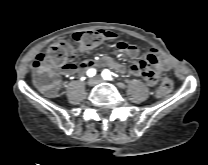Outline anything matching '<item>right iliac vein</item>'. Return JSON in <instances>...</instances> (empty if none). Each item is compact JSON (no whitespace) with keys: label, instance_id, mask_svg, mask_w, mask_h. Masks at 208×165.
I'll return each instance as SVG.
<instances>
[{"label":"right iliac vein","instance_id":"63e3f726","mask_svg":"<svg viewBox=\"0 0 208 165\" xmlns=\"http://www.w3.org/2000/svg\"><path fill=\"white\" fill-rule=\"evenodd\" d=\"M87 84L88 86L90 87H94L96 84H97V80L95 78H90L88 81H87Z\"/></svg>","mask_w":208,"mask_h":165}]
</instances>
